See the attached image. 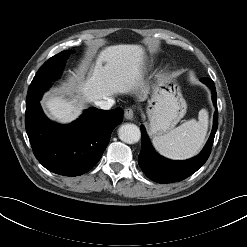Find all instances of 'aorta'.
Returning a JSON list of instances; mask_svg holds the SVG:
<instances>
[{
    "label": "aorta",
    "mask_w": 247,
    "mask_h": 247,
    "mask_svg": "<svg viewBox=\"0 0 247 247\" xmlns=\"http://www.w3.org/2000/svg\"><path fill=\"white\" fill-rule=\"evenodd\" d=\"M118 135L121 141L127 144H134L140 140L141 132L135 124H123L119 130Z\"/></svg>",
    "instance_id": "762f6f07"
}]
</instances>
